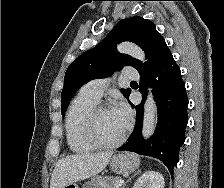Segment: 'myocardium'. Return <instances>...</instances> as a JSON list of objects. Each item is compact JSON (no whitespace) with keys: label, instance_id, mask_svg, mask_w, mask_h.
<instances>
[{"label":"myocardium","instance_id":"obj_1","mask_svg":"<svg viewBox=\"0 0 224 188\" xmlns=\"http://www.w3.org/2000/svg\"><path fill=\"white\" fill-rule=\"evenodd\" d=\"M110 107L105 104H96L87 114L85 123H84V131L85 136L88 141L97 148H115L121 145L126 136L128 134L129 127L126 126L123 133L114 141H104L102 140L97 133V118L98 115L105 110H109Z\"/></svg>","mask_w":224,"mask_h":188}]
</instances>
